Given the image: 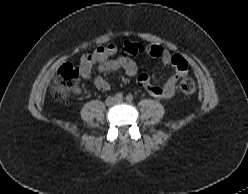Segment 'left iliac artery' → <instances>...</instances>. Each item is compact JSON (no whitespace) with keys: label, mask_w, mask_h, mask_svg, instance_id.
I'll use <instances>...</instances> for the list:
<instances>
[{"label":"left iliac artery","mask_w":248,"mask_h":194,"mask_svg":"<svg viewBox=\"0 0 248 194\" xmlns=\"http://www.w3.org/2000/svg\"><path fill=\"white\" fill-rule=\"evenodd\" d=\"M126 100H127L128 102H132V101H133V96H132L131 94H128V95L126 96Z\"/></svg>","instance_id":"1"}]
</instances>
